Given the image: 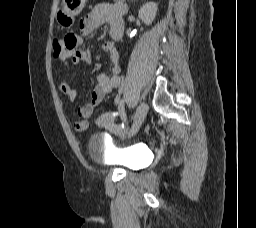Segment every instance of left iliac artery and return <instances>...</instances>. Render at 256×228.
Listing matches in <instances>:
<instances>
[{
  "label": "left iliac artery",
  "instance_id": "44dca946",
  "mask_svg": "<svg viewBox=\"0 0 256 228\" xmlns=\"http://www.w3.org/2000/svg\"><path fill=\"white\" fill-rule=\"evenodd\" d=\"M119 113H120V116L121 118L124 120V122H126V114H125V108H124V100H121L120 101V104H119Z\"/></svg>",
  "mask_w": 256,
  "mask_h": 228
}]
</instances>
